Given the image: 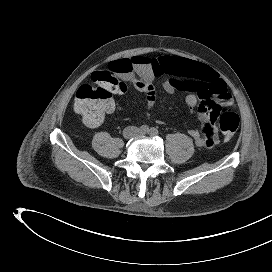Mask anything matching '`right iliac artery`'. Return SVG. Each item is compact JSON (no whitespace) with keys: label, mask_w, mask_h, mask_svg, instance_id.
<instances>
[{"label":"right iliac artery","mask_w":272,"mask_h":272,"mask_svg":"<svg viewBox=\"0 0 272 272\" xmlns=\"http://www.w3.org/2000/svg\"><path fill=\"white\" fill-rule=\"evenodd\" d=\"M139 131L143 134H146L149 132V127L147 125H142L140 128H139Z\"/></svg>","instance_id":"obj_1"}]
</instances>
